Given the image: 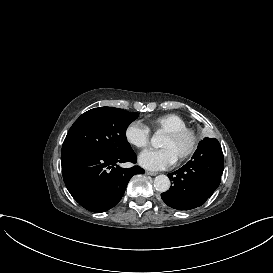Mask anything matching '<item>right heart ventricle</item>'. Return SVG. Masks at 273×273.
<instances>
[{
    "instance_id": "e07e8e85",
    "label": "right heart ventricle",
    "mask_w": 273,
    "mask_h": 273,
    "mask_svg": "<svg viewBox=\"0 0 273 273\" xmlns=\"http://www.w3.org/2000/svg\"><path fill=\"white\" fill-rule=\"evenodd\" d=\"M149 130L155 132H167L188 127V121L177 113H166L154 116L149 119L147 124H143Z\"/></svg>"
}]
</instances>
